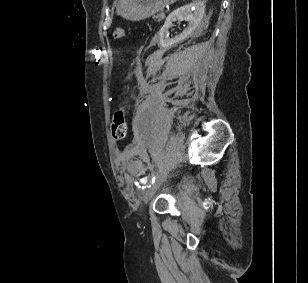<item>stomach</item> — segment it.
Returning <instances> with one entry per match:
<instances>
[{"label":"stomach","mask_w":308,"mask_h":283,"mask_svg":"<svg viewBox=\"0 0 308 283\" xmlns=\"http://www.w3.org/2000/svg\"><path fill=\"white\" fill-rule=\"evenodd\" d=\"M177 0H118L116 11L124 19L140 21L149 18Z\"/></svg>","instance_id":"stomach-1"}]
</instances>
